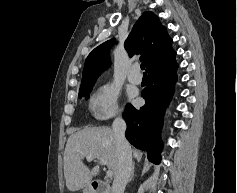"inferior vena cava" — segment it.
<instances>
[{"label": "inferior vena cava", "instance_id": "602c4592", "mask_svg": "<svg viewBox=\"0 0 237 193\" xmlns=\"http://www.w3.org/2000/svg\"><path fill=\"white\" fill-rule=\"evenodd\" d=\"M126 122L121 117L115 118L112 130L118 152V166L112 185V193H124L132 171V153L129 142L125 138Z\"/></svg>", "mask_w": 237, "mask_h": 193}]
</instances>
